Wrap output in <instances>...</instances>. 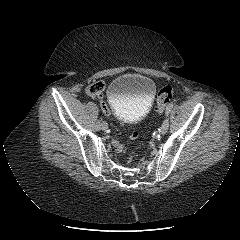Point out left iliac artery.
Segmentation results:
<instances>
[{
    "label": "left iliac artery",
    "mask_w": 240,
    "mask_h": 240,
    "mask_svg": "<svg viewBox=\"0 0 240 240\" xmlns=\"http://www.w3.org/2000/svg\"><path fill=\"white\" fill-rule=\"evenodd\" d=\"M173 106H174L173 103L168 104L167 109H166V116H168V114L170 113V111L173 108Z\"/></svg>",
    "instance_id": "1"
}]
</instances>
